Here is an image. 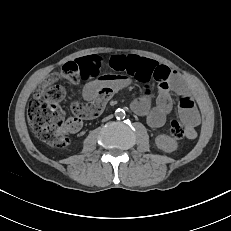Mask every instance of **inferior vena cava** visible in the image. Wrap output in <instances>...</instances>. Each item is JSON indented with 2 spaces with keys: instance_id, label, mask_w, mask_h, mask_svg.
I'll return each instance as SVG.
<instances>
[{
  "instance_id": "1",
  "label": "inferior vena cava",
  "mask_w": 231,
  "mask_h": 231,
  "mask_svg": "<svg viewBox=\"0 0 231 231\" xmlns=\"http://www.w3.org/2000/svg\"><path fill=\"white\" fill-rule=\"evenodd\" d=\"M111 118H112V115L106 117L105 120H109V119H111Z\"/></svg>"
}]
</instances>
